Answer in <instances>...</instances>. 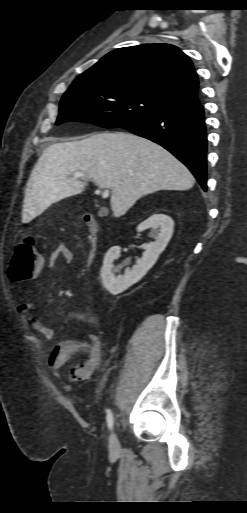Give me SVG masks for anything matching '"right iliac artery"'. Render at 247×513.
Listing matches in <instances>:
<instances>
[{
	"instance_id": "82829eb1",
	"label": "right iliac artery",
	"mask_w": 247,
	"mask_h": 513,
	"mask_svg": "<svg viewBox=\"0 0 247 513\" xmlns=\"http://www.w3.org/2000/svg\"><path fill=\"white\" fill-rule=\"evenodd\" d=\"M106 421L109 429H112L114 424V417L110 409L107 410Z\"/></svg>"
}]
</instances>
